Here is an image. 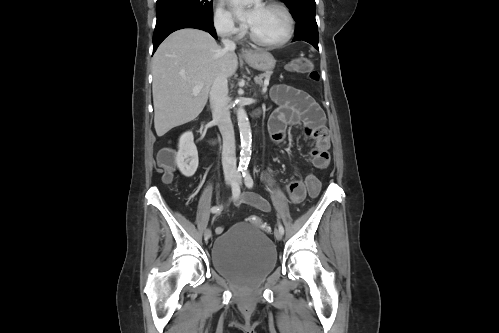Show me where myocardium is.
<instances>
[{"mask_svg":"<svg viewBox=\"0 0 499 333\" xmlns=\"http://www.w3.org/2000/svg\"><path fill=\"white\" fill-rule=\"evenodd\" d=\"M264 6H267V7H274V8H278L280 9L285 17H286V21H287V30H286V34L284 35V37H282L281 39L279 40H275V41H267V40H263L261 38H259L253 31L251 28L248 29V35L250 37V39L258 44V45H261V46H265V47H278V46H282L284 45L285 43H287L293 36V32H294V19H293V16H292V13L290 12V10L288 9L287 6H285L283 3L281 2H277V1H268Z\"/></svg>","mask_w":499,"mask_h":333,"instance_id":"obj_1","label":"myocardium"}]
</instances>
